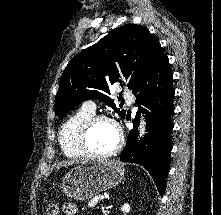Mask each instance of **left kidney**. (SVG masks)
Returning a JSON list of instances; mask_svg holds the SVG:
<instances>
[{"label":"left kidney","instance_id":"1","mask_svg":"<svg viewBox=\"0 0 221 215\" xmlns=\"http://www.w3.org/2000/svg\"><path fill=\"white\" fill-rule=\"evenodd\" d=\"M121 211L128 213V212L130 211V206H129V204H124V205L121 207Z\"/></svg>","mask_w":221,"mask_h":215}]
</instances>
